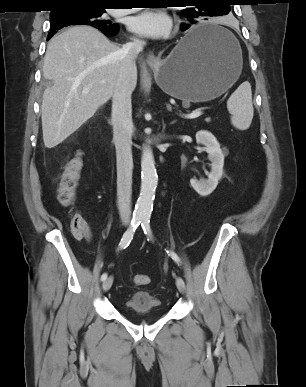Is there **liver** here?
<instances>
[{
    "label": "liver",
    "mask_w": 306,
    "mask_h": 387,
    "mask_svg": "<svg viewBox=\"0 0 306 387\" xmlns=\"http://www.w3.org/2000/svg\"><path fill=\"white\" fill-rule=\"evenodd\" d=\"M120 48L99 30L75 26L47 45L43 76L52 81L43 94V141L54 148L79 129L113 94L119 77ZM137 83L136 64L132 72ZM90 86L88 93L83 89Z\"/></svg>",
    "instance_id": "6515ba94"
}]
</instances>
